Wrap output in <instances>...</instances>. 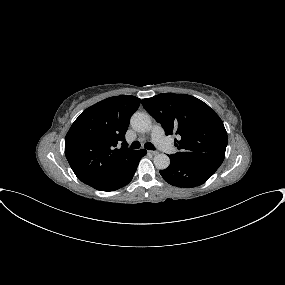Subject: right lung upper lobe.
<instances>
[{"mask_svg":"<svg viewBox=\"0 0 285 285\" xmlns=\"http://www.w3.org/2000/svg\"><path fill=\"white\" fill-rule=\"evenodd\" d=\"M139 105L135 96L110 97L87 108L75 120L65 138V155L79 180L94 186L127 171L137 151L123 144L130 117Z\"/></svg>","mask_w":285,"mask_h":285,"instance_id":"cb5924a9","label":"right lung upper lobe"}]
</instances>
